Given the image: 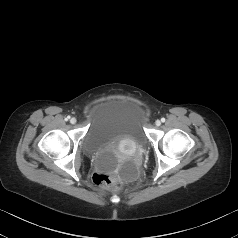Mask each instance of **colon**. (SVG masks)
I'll return each mask as SVG.
<instances>
[{
  "instance_id": "colon-1",
  "label": "colon",
  "mask_w": 238,
  "mask_h": 238,
  "mask_svg": "<svg viewBox=\"0 0 238 238\" xmlns=\"http://www.w3.org/2000/svg\"><path fill=\"white\" fill-rule=\"evenodd\" d=\"M92 180L95 185L110 190L119 189L123 184V178L118 173L104 171L94 172Z\"/></svg>"
}]
</instances>
